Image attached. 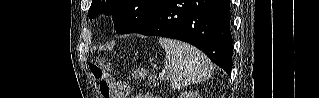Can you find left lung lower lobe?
Segmentation results:
<instances>
[{
	"mask_svg": "<svg viewBox=\"0 0 319 98\" xmlns=\"http://www.w3.org/2000/svg\"><path fill=\"white\" fill-rule=\"evenodd\" d=\"M230 17L229 0H162L150 20L135 32L190 43L230 74Z\"/></svg>",
	"mask_w": 319,
	"mask_h": 98,
	"instance_id": "obj_1",
	"label": "left lung lower lobe"
}]
</instances>
